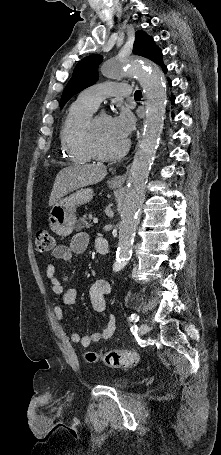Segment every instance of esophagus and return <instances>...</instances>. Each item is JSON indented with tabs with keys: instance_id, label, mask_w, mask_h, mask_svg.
<instances>
[{
	"instance_id": "obj_1",
	"label": "esophagus",
	"mask_w": 221,
	"mask_h": 455,
	"mask_svg": "<svg viewBox=\"0 0 221 455\" xmlns=\"http://www.w3.org/2000/svg\"><path fill=\"white\" fill-rule=\"evenodd\" d=\"M142 133H143V127L141 128L140 136H142ZM128 168H129V166L127 167V171L124 174L115 176L113 178V182L118 183V184H123L127 178Z\"/></svg>"
}]
</instances>
